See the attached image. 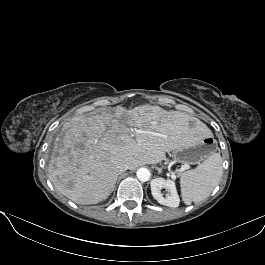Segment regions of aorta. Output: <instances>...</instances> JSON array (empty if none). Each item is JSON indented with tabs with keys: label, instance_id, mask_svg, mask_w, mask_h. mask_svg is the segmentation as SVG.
<instances>
[{
	"label": "aorta",
	"instance_id": "1",
	"mask_svg": "<svg viewBox=\"0 0 265 265\" xmlns=\"http://www.w3.org/2000/svg\"><path fill=\"white\" fill-rule=\"evenodd\" d=\"M136 176L141 182H146L150 179L151 173L147 168H139Z\"/></svg>",
	"mask_w": 265,
	"mask_h": 265
}]
</instances>
